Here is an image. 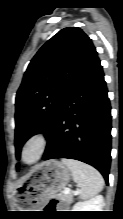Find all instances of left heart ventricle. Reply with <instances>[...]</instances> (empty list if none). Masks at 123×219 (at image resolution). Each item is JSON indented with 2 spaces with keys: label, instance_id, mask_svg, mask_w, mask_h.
<instances>
[{
  "label": "left heart ventricle",
  "instance_id": "left-heart-ventricle-1",
  "mask_svg": "<svg viewBox=\"0 0 123 219\" xmlns=\"http://www.w3.org/2000/svg\"><path fill=\"white\" fill-rule=\"evenodd\" d=\"M36 151L34 148H29L25 153L26 160H32L35 157Z\"/></svg>",
  "mask_w": 123,
  "mask_h": 219
}]
</instances>
